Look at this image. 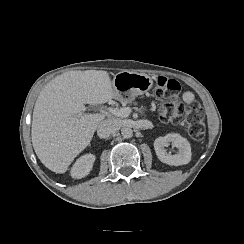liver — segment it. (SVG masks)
I'll list each match as a JSON object with an SVG mask.
<instances>
[{
    "label": "liver",
    "mask_w": 244,
    "mask_h": 244,
    "mask_svg": "<svg viewBox=\"0 0 244 244\" xmlns=\"http://www.w3.org/2000/svg\"><path fill=\"white\" fill-rule=\"evenodd\" d=\"M113 98L106 71H69L45 86L35 102L31 127L33 148L45 167L66 172L105 118L85 114V104H103Z\"/></svg>",
    "instance_id": "liver-1"
}]
</instances>
